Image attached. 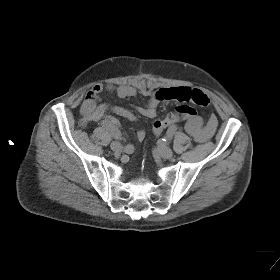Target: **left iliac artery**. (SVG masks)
Wrapping results in <instances>:
<instances>
[{"instance_id":"left-iliac-artery-1","label":"left iliac artery","mask_w":280,"mask_h":280,"mask_svg":"<svg viewBox=\"0 0 280 280\" xmlns=\"http://www.w3.org/2000/svg\"><path fill=\"white\" fill-rule=\"evenodd\" d=\"M177 129H178V126L176 124L171 125L166 132L165 138L167 140H171L173 138L175 132L177 131Z\"/></svg>"}]
</instances>
